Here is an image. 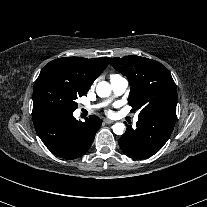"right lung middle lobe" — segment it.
I'll use <instances>...</instances> for the list:
<instances>
[{
    "mask_svg": "<svg viewBox=\"0 0 207 207\" xmlns=\"http://www.w3.org/2000/svg\"><path fill=\"white\" fill-rule=\"evenodd\" d=\"M82 95L57 74L45 72L34 84L33 116L51 112L72 114L78 106L76 99Z\"/></svg>",
    "mask_w": 207,
    "mask_h": 207,
    "instance_id": "obj_1",
    "label": "right lung middle lobe"
}]
</instances>
